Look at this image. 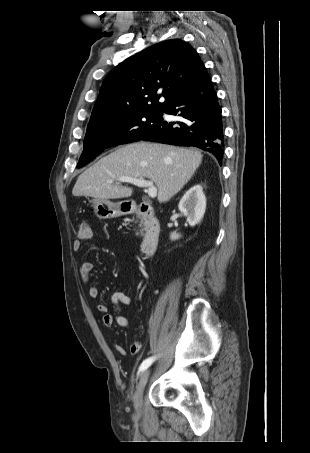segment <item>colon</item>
<instances>
[{"instance_id":"5ec220e1","label":"colon","mask_w":310,"mask_h":453,"mask_svg":"<svg viewBox=\"0 0 310 453\" xmlns=\"http://www.w3.org/2000/svg\"><path fill=\"white\" fill-rule=\"evenodd\" d=\"M79 236L83 239L91 236V228L87 223H82L79 229Z\"/></svg>"}]
</instances>
